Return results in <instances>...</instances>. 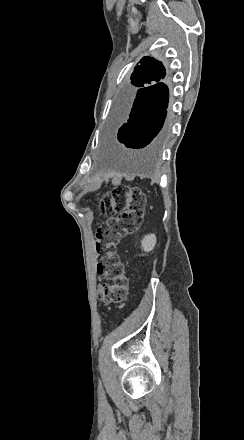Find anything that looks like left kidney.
Returning a JSON list of instances; mask_svg holds the SVG:
<instances>
[{"label":"left kidney","instance_id":"obj_1","mask_svg":"<svg viewBox=\"0 0 244 440\" xmlns=\"http://www.w3.org/2000/svg\"><path fill=\"white\" fill-rule=\"evenodd\" d=\"M155 246H156L155 234H148V236H144L143 240H141V248L143 252H151V250H154Z\"/></svg>","mask_w":244,"mask_h":440}]
</instances>
